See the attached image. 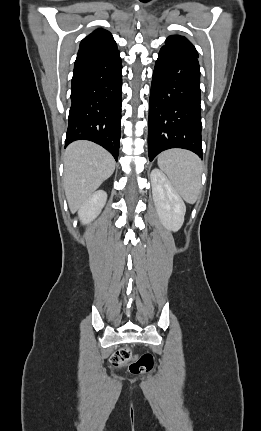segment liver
Here are the masks:
<instances>
[{
  "instance_id": "1",
  "label": "liver",
  "mask_w": 261,
  "mask_h": 431,
  "mask_svg": "<svg viewBox=\"0 0 261 431\" xmlns=\"http://www.w3.org/2000/svg\"><path fill=\"white\" fill-rule=\"evenodd\" d=\"M115 160L90 141L71 143L64 156V189L72 213L76 212L114 172Z\"/></svg>"
}]
</instances>
